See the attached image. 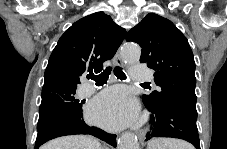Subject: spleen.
Masks as SVG:
<instances>
[{
    "label": "spleen",
    "mask_w": 227,
    "mask_h": 149,
    "mask_svg": "<svg viewBox=\"0 0 227 149\" xmlns=\"http://www.w3.org/2000/svg\"><path fill=\"white\" fill-rule=\"evenodd\" d=\"M148 149H192V146L184 141L170 138H155L148 143Z\"/></svg>",
    "instance_id": "obj_1"
}]
</instances>
